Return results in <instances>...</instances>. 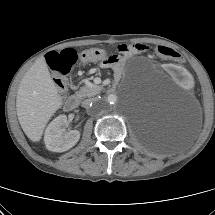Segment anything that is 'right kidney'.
<instances>
[{"mask_svg": "<svg viewBox=\"0 0 215 215\" xmlns=\"http://www.w3.org/2000/svg\"><path fill=\"white\" fill-rule=\"evenodd\" d=\"M66 124V115H60L46 128L44 142L49 151L64 152L75 146L79 141L80 132L78 130L66 132L63 128Z\"/></svg>", "mask_w": 215, "mask_h": 215, "instance_id": "obj_1", "label": "right kidney"}]
</instances>
